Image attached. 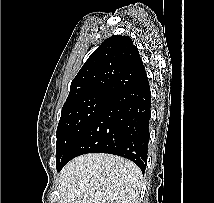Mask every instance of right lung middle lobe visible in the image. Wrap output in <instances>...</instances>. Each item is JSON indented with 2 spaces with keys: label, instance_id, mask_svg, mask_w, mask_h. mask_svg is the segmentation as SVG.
Wrapping results in <instances>:
<instances>
[{
  "label": "right lung middle lobe",
  "instance_id": "right-lung-middle-lobe-1",
  "mask_svg": "<svg viewBox=\"0 0 214 203\" xmlns=\"http://www.w3.org/2000/svg\"><path fill=\"white\" fill-rule=\"evenodd\" d=\"M112 96L94 93L65 102L56 132V168L61 167L70 150Z\"/></svg>",
  "mask_w": 214,
  "mask_h": 203
}]
</instances>
